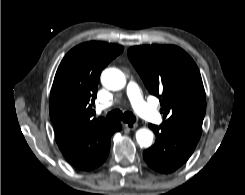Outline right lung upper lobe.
Masks as SVG:
<instances>
[{
	"mask_svg": "<svg viewBox=\"0 0 245 195\" xmlns=\"http://www.w3.org/2000/svg\"><path fill=\"white\" fill-rule=\"evenodd\" d=\"M117 44L91 41L71 49L56 72L49 113L64 157L80 170L97 166L99 140L114 122L95 120L92 111L103 68L123 51Z\"/></svg>",
	"mask_w": 245,
	"mask_h": 195,
	"instance_id": "obj_1",
	"label": "right lung upper lobe"
}]
</instances>
